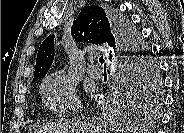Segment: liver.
Listing matches in <instances>:
<instances>
[{
	"label": "liver",
	"instance_id": "liver-1",
	"mask_svg": "<svg viewBox=\"0 0 184 133\" xmlns=\"http://www.w3.org/2000/svg\"><path fill=\"white\" fill-rule=\"evenodd\" d=\"M108 129L104 123L97 119L91 121H75L70 124H62L58 127H44L40 132L43 133H107ZM141 131L143 129L141 128Z\"/></svg>",
	"mask_w": 184,
	"mask_h": 133
}]
</instances>
